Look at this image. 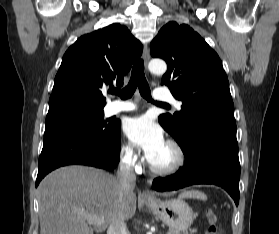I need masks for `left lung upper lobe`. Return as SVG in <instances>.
<instances>
[{
    "instance_id": "obj_1",
    "label": "left lung upper lobe",
    "mask_w": 279,
    "mask_h": 234,
    "mask_svg": "<svg viewBox=\"0 0 279 234\" xmlns=\"http://www.w3.org/2000/svg\"><path fill=\"white\" fill-rule=\"evenodd\" d=\"M152 57L167 63L162 83L182 101L181 110L162 114L161 126L173 136L183 153L199 125L210 122L235 124L229 82L217 53L186 24L167 23L150 44Z\"/></svg>"
}]
</instances>
